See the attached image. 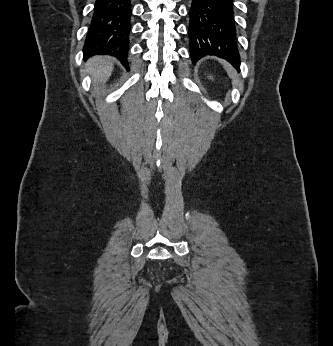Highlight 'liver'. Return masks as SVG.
I'll use <instances>...</instances> for the list:
<instances>
[{"label": "liver", "instance_id": "1", "mask_svg": "<svg viewBox=\"0 0 333 346\" xmlns=\"http://www.w3.org/2000/svg\"><path fill=\"white\" fill-rule=\"evenodd\" d=\"M87 72L92 75L93 83L106 82L113 70V60L110 57L95 56L88 60Z\"/></svg>", "mask_w": 333, "mask_h": 346}]
</instances>
